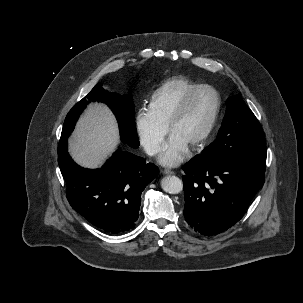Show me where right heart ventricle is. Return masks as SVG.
Instances as JSON below:
<instances>
[{
	"instance_id": "1",
	"label": "right heart ventricle",
	"mask_w": 303,
	"mask_h": 303,
	"mask_svg": "<svg viewBox=\"0 0 303 303\" xmlns=\"http://www.w3.org/2000/svg\"><path fill=\"white\" fill-rule=\"evenodd\" d=\"M199 84L184 77L175 76L164 81L152 94L149 110L163 124L169 120L184 96Z\"/></svg>"
}]
</instances>
